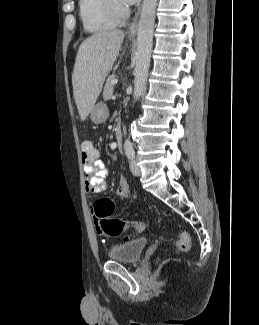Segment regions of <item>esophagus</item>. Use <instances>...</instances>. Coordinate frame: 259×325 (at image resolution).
Here are the masks:
<instances>
[{
    "label": "esophagus",
    "mask_w": 259,
    "mask_h": 325,
    "mask_svg": "<svg viewBox=\"0 0 259 325\" xmlns=\"http://www.w3.org/2000/svg\"><path fill=\"white\" fill-rule=\"evenodd\" d=\"M141 11V7L138 9V11L136 12L132 22L130 23L127 33L130 37H134L136 32H137V28H138V19H139V14Z\"/></svg>",
    "instance_id": "34e87169"
}]
</instances>
